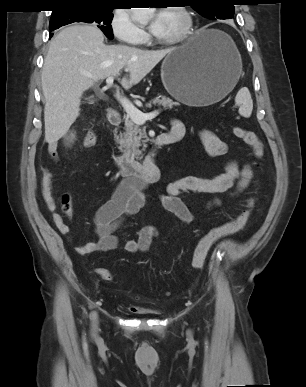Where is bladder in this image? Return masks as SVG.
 Segmentation results:
<instances>
[{
    "label": "bladder",
    "instance_id": "obj_1",
    "mask_svg": "<svg viewBox=\"0 0 306 387\" xmlns=\"http://www.w3.org/2000/svg\"><path fill=\"white\" fill-rule=\"evenodd\" d=\"M136 312L142 315H158L160 313V311L155 308H139Z\"/></svg>",
    "mask_w": 306,
    "mask_h": 387
}]
</instances>
